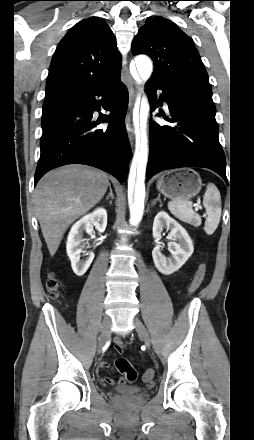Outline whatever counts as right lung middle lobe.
<instances>
[{"label": "right lung middle lobe", "mask_w": 254, "mask_h": 440, "mask_svg": "<svg viewBox=\"0 0 254 440\" xmlns=\"http://www.w3.org/2000/svg\"><path fill=\"white\" fill-rule=\"evenodd\" d=\"M48 106H49L48 102L45 101V102H44V105H43V110L47 109Z\"/></svg>", "instance_id": "1"}]
</instances>
